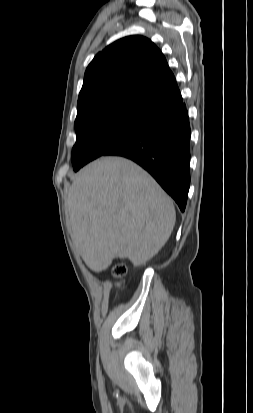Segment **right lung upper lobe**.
I'll return each mask as SVG.
<instances>
[{
    "instance_id": "obj_1",
    "label": "right lung upper lobe",
    "mask_w": 253,
    "mask_h": 413,
    "mask_svg": "<svg viewBox=\"0 0 253 413\" xmlns=\"http://www.w3.org/2000/svg\"><path fill=\"white\" fill-rule=\"evenodd\" d=\"M181 103L175 77L161 51L143 36H128L99 52L88 65L76 118L112 107L155 114Z\"/></svg>"
}]
</instances>
